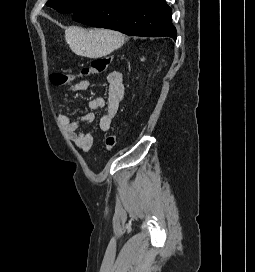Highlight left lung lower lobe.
<instances>
[{
	"label": "left lung lower lobe",
	"mask_w": 255,
	"mask_h": 272,
	"mask_svg": "<svg viewBox=\"0 0 255 272\" xmlns=\"http://www.w3.org/2000/svg\"><path fill=\"white\" fill-rule=\"evenodd\" d=\"M171 13L165 0H91L75 11L72 19L129 36H168L176 40Z\"/></svg>",
	"instance_id": "1"
}]
</instances>
